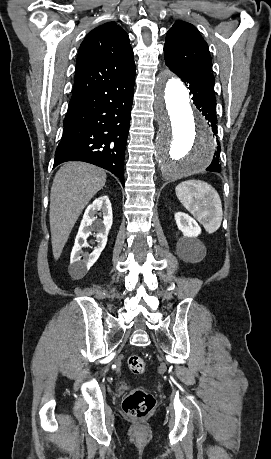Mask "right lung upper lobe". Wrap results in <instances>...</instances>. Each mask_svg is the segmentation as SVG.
<instances>
[{
  "instance_id": "obj_1",
  "label": "right lung upper lobe",
  "mask_w": 271,
  "mask_h": 459,
  "mask_svg": "<svg viewBox=\"0 0 271 459\" xmlns=\"http://www.w3.org/2000/svg\"><path fill=\"white\" fill-rule=\"evenodd\" d=\"M135 73L128 34L115 22L93 29L81 43L76 61L73 104L118 77Z\"/></svg>"
}]
</instances>
